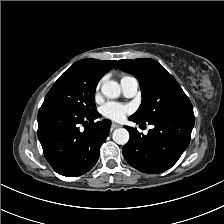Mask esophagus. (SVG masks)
Returning a JSON list of instances; mask_svg holds the SVG:
<instances>
[{
	"mask_svg": "<svg viewBox=\"0 0 224 224\" xmlns=\"http://www.w3.org/2000/svg\"><path fill=\"white\" fill-rule=\"evenodd\" d=\"M118 127H120L119 124H116V123H112V124H111V129H112V130H113V129H116V128H118Z\"/></svg>",
	"mask_w": 224,
	"mask_h": 224,
	"instance_id": "obj_1",
	"label": "esophagus"
}]
</instances>
